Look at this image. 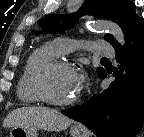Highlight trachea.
<instances>
[{"mask_svg": "<svg viewBox=\"0 0 144 137\" xmlns=\"http://www.w3.org/2000/svg\"><path fill=\"white\" fill-rule=\"evenodd\" d=\"M101 60H108V58L103 57Z\"/></svg>", "mask_w": 144, "mask_h": 137, "instance_id": "1", "label": "trachea"}]
</instances>
